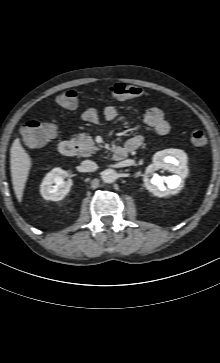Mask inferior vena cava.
Listing matches in <instances>:
<instances>
[{
  "label": "inferior vena cava",
  "instance_id": "1",
  "mask_svg": "<svg viewBox=\"0 0 220 363\" xmlns=\"http://www.w3.org/2000/svg\"><path fill=\"white\" fill-rule=\"evenodd\" d=\"M98 168L97 164L94 161L91 160H84L81 163V169L84 172H94Z\"/></svg>",
  "mask_w": 220,
  "mask_h": 363
}]
</instances>
